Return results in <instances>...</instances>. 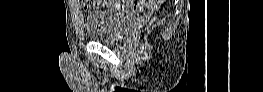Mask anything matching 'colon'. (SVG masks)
<instances>
[{"label": "colon", "mask_w": 263, "mask_h": 92, "mask_svg": "<svg viewBox=\"0 0 263 92\" xmlns=\"http://www.w3.org/2000/svg\"><path fill=\"white\" fill-rule=\"evenodd\" d=\"M144 3V1H134L133 2V9L138 10L140 6Z\"/></svg>", "instance_id": "1"}]
</instances>
